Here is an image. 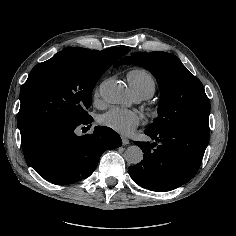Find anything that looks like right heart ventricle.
<instances>
[{
    "label": "right heart ventricle",
    "instance_id": "right-heart-ventricle-1",
    "mask_svg": "<svg viewBox=\"0 0 236 236\" xmlns=\"http://www.w3.org/2000/svg\"><path fill=\"white\" fill-rule=\"evenodd\" d=\"M127 77L134 95H140L145 99L154 95L156 83L149 72L143 69H134L128 73Z\"/></svg>",
    "mask_w": 236,
    "mask_h": 236
}]
</instances>
